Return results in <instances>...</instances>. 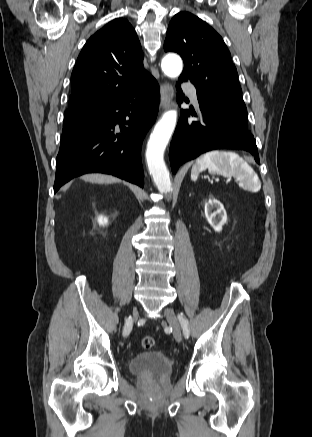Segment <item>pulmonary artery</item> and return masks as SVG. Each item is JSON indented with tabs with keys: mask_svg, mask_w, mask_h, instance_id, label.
Masks as SVG:
<instances>
[{
	"mask_svg": "<svg viewBox=\"0 0 312 437\" xmlns=\"http://www.w3.org/2000/svg\"><path fill=\"white\" fill-rule=\"evenodd\" d=\"M184 87H185V89L187 90V92L189 93L192 102H193L195 105H198V99H197V92H196V89H195L194 87H192L191 85L187 84V83L184 84Z\"/></svg>",
	"mask_w": 312,
	"mask_h": 437,
	"instance_id": "1",
	"label": "pulmonary artery"
}]
</instances>
